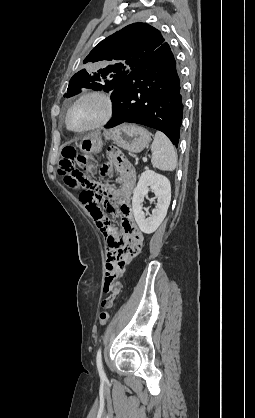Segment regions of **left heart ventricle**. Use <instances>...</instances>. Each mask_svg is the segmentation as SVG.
Wrapping results in <instances>:
<instances>
[{
	"instance_id": "obj_1",
	"label": "left heart ventricle",
	"mask_w": 255,
	"mask_h": 418,
	"mask_svg": "<svg viewBox=\"0 0 255 418\" xmlns=\"http://www.w3.org/2000/svg\"><path fill=\"white\" fill-rule=\"evenodd\" d=\"M104 111L103 102L96 97H89L77 103L69 114V124L74 129L86 128L97 122Z\"/></svg>"
}]
</instances>
